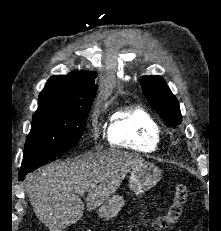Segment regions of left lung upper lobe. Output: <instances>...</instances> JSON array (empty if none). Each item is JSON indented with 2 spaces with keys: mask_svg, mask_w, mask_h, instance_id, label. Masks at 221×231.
<instances>
[{
  "mask_svg": "<svg viewBox=\"0 0 221 231\" xmlns=\"http://www.w3.org/2000/svg\"><path fill=\"white\" fill-rule=\"evenodd\" d=\"M141 87L149 104L169 126L181 123L179 103L162 77L143 76Z\"/></svg>",
  "mask_w": 221,
  "mask_h": 231,
  "instance_id": "left-lung-upper-lobe-1",
  "label": "left lung upper lobe"
}]
</instances>
